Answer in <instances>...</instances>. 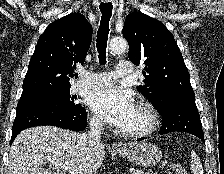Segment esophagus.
Instances as JSON below:
<instances>
[{
  "mask_svg": "<svg viewBox=\"0 0 224 174\" xmlns=\"http://www.w3.org/2000/svg\"><path fill=\"white\" fill-rule=\"evenodd\" d=\"M105 1H108V0H105ZM112 147H113V149H124V148H126L125 145L123 143H120V142L113 143Z\"/></svg>",
  "mask_w": 224,
  "mask_h": 174,
  "instance_id": "esophagus-1",
  "label": "esophagus"
}]
</instances>
